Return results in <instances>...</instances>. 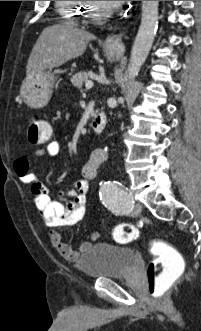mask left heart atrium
Listing matches in <instances>:
<instances>
[{"label":"left heart atrium","mask_w":201,"mask_h":331,"mask_svg":"<svg viewBox=\"0 0 201 331\" xmlns=\"http://www.w3.org/2000/svg\"><path fill=\"white\" fill-rule=\"evenodd\" d=\"M101 2L106 4L109 7H116V6H119L123 3H125L126 1H101Z\"/></svg>","instance_id":"1"}]
</instances>
